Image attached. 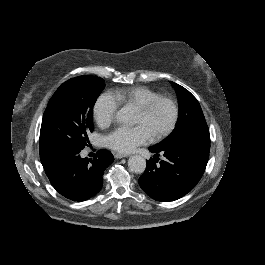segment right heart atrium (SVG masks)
Wrapping results in <instances>:
<instances>
[{
    "mask_svg": "<svg viewBox=\"0 0 265 265\" xmlns=\"http://www.w3.org/2000/svg\"><path fill=\"white\" fill-rule=\"evenodd\" d=\"M118 107L119 105L110 94H101L93 107L94 120L102 128L109 126L116 119Z\"/></svg>",
    "mask_w": 265,
    "mask_h": 265,
    "instance_id": "1",
    "label": "right heart atrium"
}]
</instances>
